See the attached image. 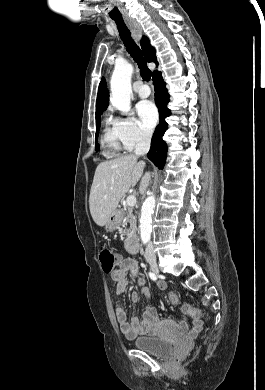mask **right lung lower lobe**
<instances>
[{
	"instance_id": "98d812e1",
	"label": "right lung lower lobe",
	"mask_w": 265,
	"mask_h": 390,
	"mask_svg": "<svg viewBox=\"0 0 265 390\" xmlns=\"http://www.w3.org/2000/svg\"><path fill=\"white\" fill-rule=\"evenodd\" d=\"M152 78L155 88V102L158 107L160 122L153 134L150 151L148 152L147 157L157 167H159V169H163L167 155V144L162 137L168 129V124L165 122V118L171 114L170 110L167 108L169 94L165 87L166 83L163 81L160 72L154 74Z\"/></svg>"
}]
</instances>
